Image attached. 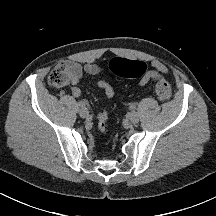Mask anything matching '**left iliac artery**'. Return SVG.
I'll use <instances>...</instances> for the list:
<instances>
[{"label":"left iliac artery","mask_w":216,"mask_h":216,"mask_svg":"<svg viewBox=\"0 0 216 216\" xmlns=\"http://www.w3.org/2000/svg\"><path fill=\"white\" fill-rule=\"evenodd\" d=\"M130 109H131V110H135V109H136V104H131V105H130Z\"/></svg>","instance_id":"44dca946"}]
</instances>
